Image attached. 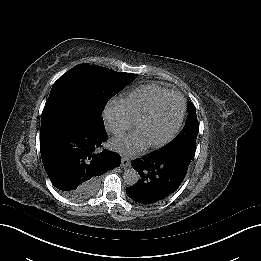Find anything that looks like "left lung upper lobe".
I'll use <instances>...</instances> for the list:
<instances>
[{
    "label": "left lung upper lobe",
    "instance_id": "left-lung-upper-lobe-1",
    "mask_svg": "<svg viewBox=\"0 0 261 261\" xmlns=\"http://www.w3.org/2000/svg\"><path fill=\"white\" fill-rule=\"evenodd\" d=\"M188 104V116L183 130L178 137L164 148H185L193 153L196 150V139L199 133V125L196 117V108L190 101Z\"/></svg>",
    "mask_w": 261,
    "mask_h": 261
}]
</instances>
